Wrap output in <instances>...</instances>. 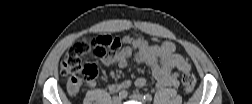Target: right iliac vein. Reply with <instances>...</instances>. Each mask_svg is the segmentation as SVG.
<instances>
[{"mask_svg": "<svg viewBox=\"0 0 252 104\" xmlns=\"http://www.w3.org/2000/svg\"><path fill=\"white\" fill-rule=\"evenodd\" d=\"M121 101H122V98H121V97H114V98H113V103H114V104H120Z\"/></svg>", "mask_w": 252, "mask_h": 104, "instance_id": "1", "label": "right iliac vein"}]
</instances>
